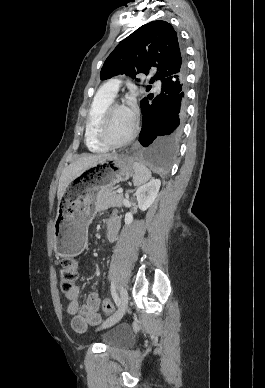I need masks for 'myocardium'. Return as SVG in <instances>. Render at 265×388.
Listing matches in <instances>:
<instances>
[{
    "label": "myocardium",
    "instance_id": "f54148a6",
    "mask_svg": "<svg viewBox=\"0 0 265 388\" xmlns=\"http://www.w3.org/2000/svg\"><path fill=\"white\" fill-rule=\"evenodd\" d=\"M100 91H103V90H100ZM105 91H116V90H105ZM117 108H124V106L114 102L107 105L100 113V116L96 124V130H95L96 138L100 143L104 144L105 146L115 147V148L122 147L128 144L137 135V126L134 123H132L130 131L121 139H117V140L111 139L106 135L105 125H106L107 117L113 110Z\"/></svg>",
    "mask_w": 265,
    "mask_h": 388
}]
</instances>
